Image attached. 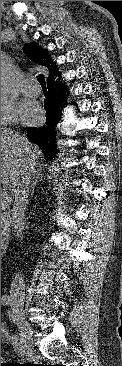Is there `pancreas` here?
<instances>
[{"label":"pancreas","instance_id":"1","mask_svg":"<svg viewBox=\"0 0 122 366\" xmlns=\"http://www.w3.org/2000/svg\"><path fill=\"white\" fill-rule=\"evenodd\" d=\"M10 200L7 201L1 196V236L8 237V217L5 213V209L8 208Z\"/></svg>","mask_w":122,"mask_h":366}]
</instances>
